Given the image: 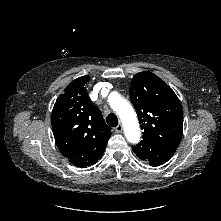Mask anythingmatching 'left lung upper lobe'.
Wrapping results in <instances>:
<instances>
[{
	"label": "left lung upper lobe",
	"instance_id": "obj_1",
	"mask_svg": "<svg viewBox=\"0 0 221 221\" xmlns=\"http://www.w3.org/2000/svg\"><path fill=\"white\" fill-rule=\"evenodd\" d=\"M130 100L143 132V140L133 146L141 160L151 166L167 162L176 151L183 132V110L174 91L150 72L132 78Z\"/></svg>",
	"mask_w": 221,
	"mask_h": 221
}]
</instances>
